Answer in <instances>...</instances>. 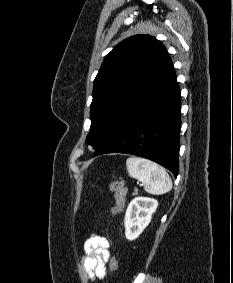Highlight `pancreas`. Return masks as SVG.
I'll list each match as a JSON object with an SVG mask.
<instances>
[{
  "instance_id": "cf45deb5",
  "label": "pancreas",
  "mask_w": 233,
  "mask_h": 283,
  "mask_svg": "<svg viewBox=\"0 0 233 283\" xmlns=\"http://www.w3.org/2000/svg\"><path fill=\"white\" fill-rule=\"evenodd\" d=\"M137 194V190H135V193L133 195Z\"/></svg>"
}]
</instances>
